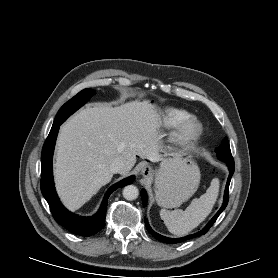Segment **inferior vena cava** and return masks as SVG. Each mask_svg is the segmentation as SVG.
Returning a JSON list of instances; mask_svg holds the SVG:
<instances>
[{
    "instance_id": "inferior-vena-cava-1",
    "label": "inferior vena cava",
    "mask_w": 278,
    "mask_h": 278,
    "mask_svg": "<svg viewBox=\"0 0 278 278\" xmlns=\"http://www.w3.org/2000/svg\"><path fill=\"white\" fill-rule=\"evenodd\" d=\"M124 169H126V164L121 157H117L110 165L112 173H121Z\"/></svg>"
}]
</instances>
